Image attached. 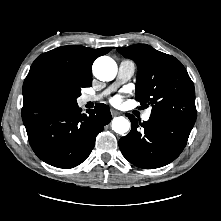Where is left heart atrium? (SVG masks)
<instances>
[{"instance_id": "obj_1", "label": "left heart atrium", "mask_w": 221, "mask_h": 221, "mask_svg": "<svg viewBox=\"0 0 221 221\" xmlns=\"http://www.w3.org/2000/svg\"><path fill=\"white\" fill-rule=\"evenodd\" d=\"M120 98L119 97H114L113 99H112V104H114V105H119L120 104Z\"/></svg>"}]
</instances>
